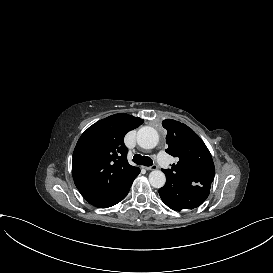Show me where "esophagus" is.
Here are the masks:
<instances>
[{
  "label": "esophagus",
  "instance_id": "esophagus-1",
  "mask_svg": "<svg viewBox=\"0 0 273 273\" xmlns=\"http://www.w3.org/2000/svg\"><path fill=\"white\" fill-rule=\"evenodd\" d=\"M158 168L157 165H152L150 167H146V170L152 171V170H156Z\"/></svg>",
  "mask_w": 273,
  "mask_h": 273
}]
</instances>
